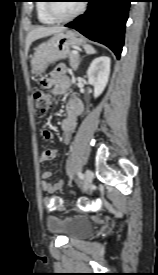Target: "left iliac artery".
Returning <instances> with one entry per match:
<instances>
[{
	"mask_svg": "<svg viewBox=\"0 0 158 275\" xmlns=\"http://www.w3.org/2000/svg\"><path fill=\"white\" fill-rule=\"evenodd\" d=\"M78 177H79L80 179H83V178H84V176H83V174H82L81 172H78Z\"/></svg>",
	"mask_w": 158,
	"mask_h": 275,
	"instance_id": "44dca946",
	"label": "left iliac artery"
}]
</instances>
